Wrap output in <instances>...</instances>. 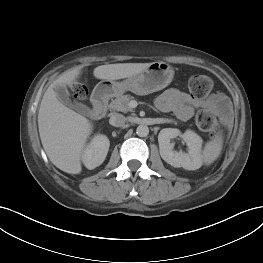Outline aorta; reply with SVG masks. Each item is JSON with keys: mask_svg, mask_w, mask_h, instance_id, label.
<instances>
[{"mask_svg": "<svg viewBox=\"0 0 263 263\" xmlns=\"http://www.w3.org/2000/svg\"><path fill=\"white\" fill-rule=\"evenodd\" d=\"M136 134L139 137H146L149 134V128L147 125H139L136 129Z\"/></svg>", "mask_w": 263, "mask_h": 263, "instance_id": "aorta-1", "label": "aorta"}]
</instances>
